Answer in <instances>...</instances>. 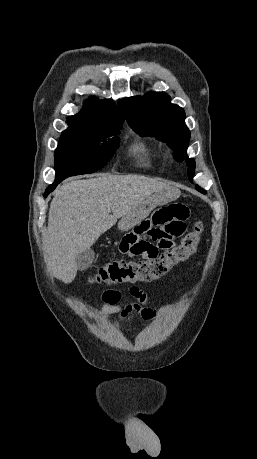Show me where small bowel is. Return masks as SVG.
Instances as JSON below:
<instances>
[{
  "label": "small bowel",
  "instance_id": "small-bowel-1",
  "mask_svg": "<svg viewBox=\"0 0 257 459\" xmlns=\"http://www.w3.org/2000/svg\"><path fill=\"white\" fill-rule=\"evenodd\" d=\"M187 220H190L189 205H185L183 200H175L173 205H154L150 217H143L142 223H134L133 230H128L123 239L117 240L118 254L135 263L155 261L159 251H172L174 241L190 234V229L184 227ZM183 278L182 274L177 273L168 276L166 280L174 282ZM129 295L134 301L121 305L120 291H105L102 295L104 305L99 315L109 319L110 314L120 313V319L125 320L138 314L146 322L157 315V311L147 305L146 295L137 286L130 288ZM171 308V305H165L160 313L166 314Z\"/></svg>",
  "mask_w": 257,
  "mask_h": 459
}]
</instances>
